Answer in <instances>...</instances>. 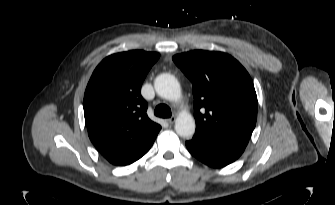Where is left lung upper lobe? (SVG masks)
Listing matches in <instances>:
<instances>
[{"label":"left lung upper lobe","instance_id":"left-lung-upper-lobe-1","mask_svg":"<svg viewBox=\"0 0 335 205\" xmlns=\"http://www.w3.org/2000/svg\"><path fill=\"white\" fill-rule=\"evenodd\" d=\"M193 85L195 135L245 148L256 125L257 96L245 68L222 52L173 56Z\"/></svg>","mask_w":335,"mask_h":205}]
</instances>
